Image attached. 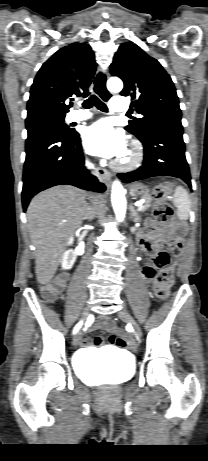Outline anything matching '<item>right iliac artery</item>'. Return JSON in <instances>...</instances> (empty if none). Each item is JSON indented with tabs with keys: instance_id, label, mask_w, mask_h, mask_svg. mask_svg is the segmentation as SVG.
Masks as SVG:
<instances>
[{
	"instance_id": "1",
	"label": "right iliac artery",
	"mask_w": 208,
	"mask_h": 461,
	"mask_svg": "<svg viewBox=\"0 0 208 461\" xmlns=\"http://www.w3.org/2000/svg\"><path fill=\"white\" fill-rule=\"evenodd\" d=\"M81 325H82V323L80 322V323H78V324L75 326V328H74V330H73V333H74V334L79 330V328L81 327Z\"/></svg>"
}]
</instances>
